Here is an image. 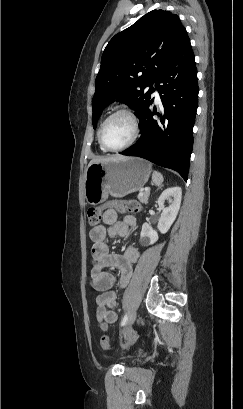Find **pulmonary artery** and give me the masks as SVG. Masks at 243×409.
I'll return each instance as SVG.
<instances>
[{
  "label": "pulmonary artery",
  "instance_id": "obj_1",
  "mask_svg": "<svg viewBox=\"0 0 243 409\" xmlns=\"http://www.w3.org/2000/svg\"><path fill=\"white\" fill-rule=\"evenodd\" d=\"M155 95H158V91H157V90H155Z\"/></svg>",
  "mask_w": 243,
  "mask_h": 409
}]
</instances>
